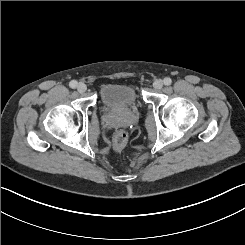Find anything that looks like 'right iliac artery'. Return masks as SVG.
Instances as JSON below:
<instances>
[{
    "instance_id": "82829eb1",
    "label": "right iliac artery",
    "mask_w": 245,
    "mask_h": 245,
    "mask_svg": "<svg viewBox=\"0 0 245 245\" xmlns=\"http://www.w3.org/2000/svg\"><path fill=\"white\" fill-rule=\"evenodd\" d=\"M69 86L71 87V88H76L77 87V82L75 81V80H72L70 83H69Z\"/></svg>"
}]
</instances>
